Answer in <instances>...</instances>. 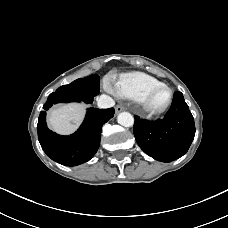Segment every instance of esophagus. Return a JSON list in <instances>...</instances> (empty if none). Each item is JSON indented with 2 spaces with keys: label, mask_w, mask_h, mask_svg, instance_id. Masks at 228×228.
<instances>
[{
  "label": "esophagus",
  "mask_w": 228,
  "mask_h": 228,
  "mask_svg": "<svg viewBox=\"0 0 228 228\" xmlns=\"http://www.w3.org/2000/svg\"><path fill=\"white\" fill-rule=\"evenodd\" d=\"M115 110H116V113H120L121 111L124 110V107L122 105H117Z\"/></svg>",
  "instance_id": "1"
}]
</instances>
